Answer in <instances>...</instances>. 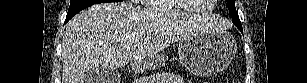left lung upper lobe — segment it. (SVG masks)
I'll use <instances>...</instances> for the list:
<instances>
[{
	"mask_svg": "<svg viewBox=\"0 0 307 83\" xmlns=\"http://www.w3.org/2000/svg\"><path fill=\"white\" fill-rule=\"evenodd\" d=\"M227 5H228V8H229L230 16L232 17V22L237 27H242L241 22L239 20L238 13L236 12L235 0H227Z\"/></svg>",
	"mask_w": 307,
	"mask_h": 83,
	"instance_id": "1",
	"label": "left lung upper lobe"
}]
</instances>
